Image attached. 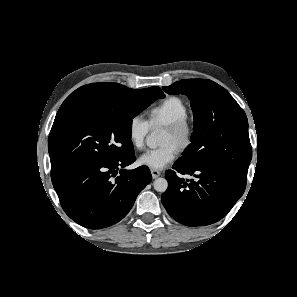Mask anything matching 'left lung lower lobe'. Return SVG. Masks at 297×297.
<instances>
[{
  "label": "left lung lower lobe",
  "mask_w": 297,
  "mask_h": 297,
  "mask_svg": "<svg viewBox=\"0 0 297 297\" xmlns=\"http://www.w3.org/2000/svg\"><path fill=\"white\" fill-rule=\"evenodd\" d=\"M165 177L168 189L162 203L168 214L187 226H205L222 219L242 196L246 177L214 166H183L178 163ZM182 175L196 179L184 180Z\"/></svg>",
  "instance_id": "left-lung-lower-lobe-1"
}]
</instances>
